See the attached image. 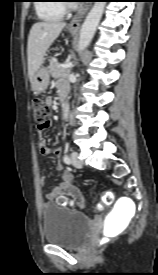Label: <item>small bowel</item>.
Here are the masks:
<instances>
[{
  "label": "small bowel",
  "mask_w": 158,
  "mask_h": 275,
  "mask_svg": "<svg viewBox=\"0 0 158 275\" xmlns=\"http://www.w3.org/2000/svg\"><path fill=\"white\" fill-rule=\"evenodd\" d=\"M67 86L68 84L64 80L57 81V88L59 90ZM50 124L51 122L48 121V127L50 126ZM41 131L42 130L39 129V132ZM37 144L42 155L47 156V155H50L52 152L56 155V157L58 158L56 168L59 171L62 170L64 167V163L61 159V149L58 147L52 149L47 144L46 140L41 136H39ZM45 183H46V178L44 176H41L39 178V184L44 185ZM59 197H69L77 205L79 206L84 205V200L81 192L72 184V175L70 172H65L63 174L62 181L45 194V198L49 201H52Z\"/></svg>",
  "instance_id": "small-bowel-1"
}]
</instances>
